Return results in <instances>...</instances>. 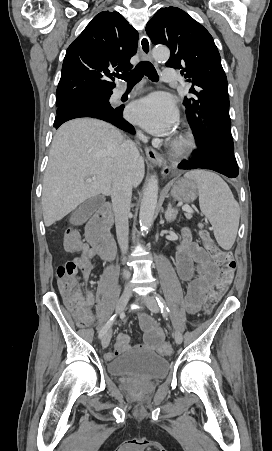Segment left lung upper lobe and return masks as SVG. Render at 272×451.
<instances>
[{
	"label": "left lung upper lobe",
	"mask_w": 272,
	"mask_h": 451,
	"mask_svg": "<svg viewBox=\"0 0 272 451\" xmlns=\"http://www.w3.org/2000/svg\"><path fill=\"white\" fill-rule=\"evenodd\" d=\"M153 44L167 45L171 55L167 67L181 69L192 83L185 98L187 120L194 126L200 147L219 146L234 153L229 116L227 78L220 54L210 33L183 10L159 9L146 25Z\"/></svg>",
	"instance_id": "5c2ea615"
}]
</instances>
